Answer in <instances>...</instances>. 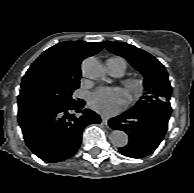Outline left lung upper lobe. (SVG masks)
Returning a JSON list of instances; mask_svg holds the SVG:
<instances>
[{
    "instance_id": "1",
    "label": "left lung upper lobe",
    "mask_w": 194,
    "mask_h": 193,
    "mask_svg": "<svg viewBox=\"0 0 194 193\" xmlns=\"http://www.w3.org/2000/svg\"><path fill=\"white\" fill-rule=\"evenodd\" d=\"M104 45L110 52L126 58L134 68L145 76V93L133 108L170 100L171 86L168 74L164 65L154 56L127 43L105 41Z\"/></svg>"
}]
</instances>
